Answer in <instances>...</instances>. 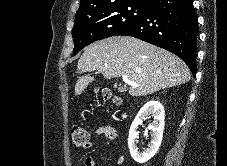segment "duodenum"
<instances>
[{
    "label": "duodenum",
    "instance_id": "duodenum-1",
    "mask_svg": "<svg viewBox=\"0 0 227 166\" xmlns=\"http://www.w3.org/2000/svg\"><path fill=\"white\" fill-rule=\"evenodd\" d=\"M126 117H127V115H126V113H124V114H123V118H126Z\"/></svg>",
    "mask_w": 227,
    "mask_h": 166
}]
</instances>
